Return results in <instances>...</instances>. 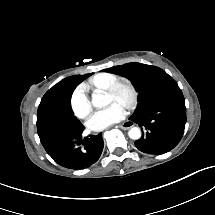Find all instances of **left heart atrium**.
Wrapping results in <instances>:
<instances>
[{
	"instance_id": "obj_1",
	"label": "left heart atrium",
	"mask_w": 215,
	"mask_h": 215,
	"mask_svg": "<svg viewBox=\"0 0 215 215\" xmlns=\"http://www.w3.org/2000/svg\"><path fill=\"white\" fill-rule=\"evenodd\" d=\"M125 111L119 105L109 106L98 113L90 116L88 123L90 127L97 129L112 120H119L123 118Z\"/></svg>"
}]
</instances>
